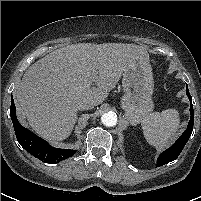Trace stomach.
I'll return each mask as SVG.
<instances>
[{
    "label": "stomach",
    "mask_w": 201,
    "mask_h": 201,
    "mask_svg": "<svg viewBox=\"0 0 201 201\" xmlns=\"http://www.w3.org/2000/svg\"><path fill=\"white\" fill-rule=\"evenodd\" d=\"M121 107L131 124L142 122L153 111L154 81L149 57L140 55L123 73Z\"/></svg>",
    "instance_id": "0dacf381"
}]
</instances>
